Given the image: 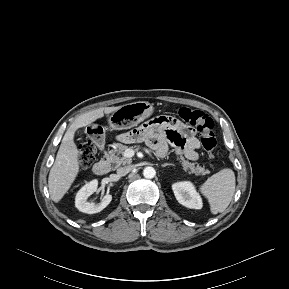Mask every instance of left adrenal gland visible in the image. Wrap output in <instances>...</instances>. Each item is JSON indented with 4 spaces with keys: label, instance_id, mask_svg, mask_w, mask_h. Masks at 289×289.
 Masks as SVG:
<instances>
[{
    "label": "left adrenal gland",
    "instance_id": "obj_1",
    "mask_svg": "<svg viewBox=\"0 0 289 289\" xmlns=\"http://www.w3.org/2000/svg\"><path fill=\"white\" fill-rule=\"evenodd\" d=\"M161 166H162V167H165V166H174V164H171V163H165V164H162Z\"/></svg>",
    "mask_w": 289,
    "mask_h": 289
}]
</instances>
